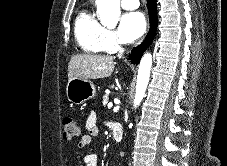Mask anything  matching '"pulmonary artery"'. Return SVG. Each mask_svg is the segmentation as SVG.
I'll list each match as a JSON object with an SVG mask.
<instances>
[{"instance_id": "e3ab8cb5", "label": "pulmonary artery", "mask_w": 227, "mask_h": 166, "mask_svg": "<svg viewBox=\"0 0 227 166\" xmlns=\"http://www.w3.org/2000/svg\"><path fill=\"white\" fill-rule=\"evenodd\" d=\"M121 6L126 10H135L139 7V0H121Z\"/></svg>"}]
</instances>
